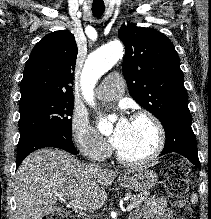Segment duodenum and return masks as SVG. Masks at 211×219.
Wrapping results in <instances>:
<instances>
[{"instance_id":"410a0bca","label":"duodenum","mask_w":211,"mask_h":219,"mask_svg":"<svg viewBox=\"0 0 211 219\" xmlns=\"http://www.w3.org/2000/svg\"><path fill=\"white\" fill-rule=\"evenodd\" d=\"M70 219H78V218H76V217H71Z\"/></svg>"}]
</instances>
